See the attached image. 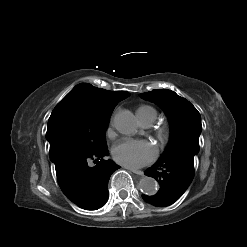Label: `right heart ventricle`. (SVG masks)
<instances>
[{
    "mask_svg": "<svg viewBox=\"0 0 247 247\" xmlns=\"http://www.w3.org/2000/svg\"><path fill=\"white\" fill-rule=\"evenodd\" d=\"M137 116L143 125H151L158 116L157 110L150 105H140L137 109Z\"/></svg>",
    "mask_w": 247,
    "mask_h": 247,
    "instance_id": "e07e8e85",
    "label": "right heart ventricle"
}]
</instances>
